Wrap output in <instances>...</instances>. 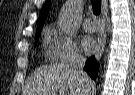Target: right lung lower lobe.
Returning <instances> with one entry per match:
<instances>
[{"label":"right lung lower lobe","instance_id":"98d812e1","mask_svg":"<svg viewBox=\"0 0 135 95\" xmlns=\"http://www.w3.org/2000/svg\"><path fill=\"white\" fill-rule=\"evenodd\" d=\"M98 68L99 65L95 62L94 56H92L86 61L84 70L89 74L92 79L95 80L98 74Z\"/></svg>","mask_w":135,"mask_h":95}]
</instances>
